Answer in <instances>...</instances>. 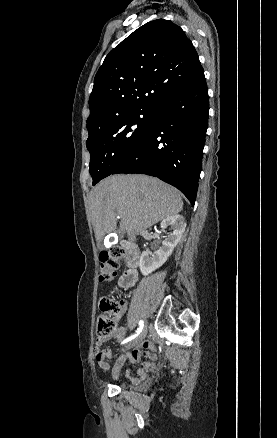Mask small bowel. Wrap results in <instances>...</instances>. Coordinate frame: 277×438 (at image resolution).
Listing matches in <instances>:
<instances>
[{
	"label": "small bowel",
	"mask_w": 277,
	"mask_h": 438,
	"mask_svg": "<svg viewBox=\"0 0 277 438\" xmlns=\"http://www.w3.org/2000/svg\"><path fill=\"white\" fill-rule=\"evenodd\" d=\"M121 306H122V310L126 309V304L122 303ZM125 332H126V328L125 327L117 326V327H115V329L113 330V332L109 336L111 338H114V339H120L125 334ZM107 338L108 337H101V336H99L97 338V340H96L97 345H101L102 343H104L107 340ZM142 348L146 349V350L149 349L151 351L155 350V346L152 343H150V342H144L142 344ZM93 353H94V355L98 356L97 357V360H98L97 365H98V367H100V368L105 367L106 362L104 360V357L101 355V353H102L101 348H99V347L94 348ZM103 354L104 355H109L110 354V349L109 348H104L103 349ZM144 355H145V352L139 351V346H137L130 353L129 358L132 361H140ZM150 357L152 359H154L155 358V354H151ZM122 364H123V359H120L119 362L117 363L116 367H115L114 376L117 379H118L119 369L122 366ZM151 368H153V365L151 363L145 362L143 364V369L139 371V375H140L139 379H133L132 382L134 384H138L140 381H144L146 379L144 371L149 370Z\"/></svg>",
	"instance_id": "c3829d8e"
}]
</instances>
